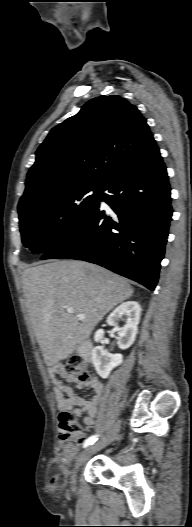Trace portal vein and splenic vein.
I'll return each mask as SVG.
<instances>
[{
	"label": "portal vein and splenic vein",
	"mask_w": 192,
	"mask_h": 527,
	"mask_svg": "<svg viewBox=\"0 0 192 527\" xmlns=\"http://www.w3.org/2000/svg\"><path fill=\"white\" fill-rule=\"evenodd\" d=\"M65 309H66V312H67V313H69V314L73 313V308H71V307H65ZM77 316H78L79 319H85V318H86V316L83 315V314H78Z\"/></svg>",
	"instance_id": "18ae733b"
}]
</instances>
